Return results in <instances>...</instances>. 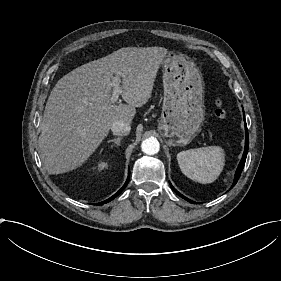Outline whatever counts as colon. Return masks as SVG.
<instances>
[{
	"instance_id": "obj_1",
	"label": "colon",
	"mask_w": 281,
	"mask_h": 281,
	"mask_svg": "<svg viewBox=\"0 0 281 281\" xmlns=\"http://www.w3.org/2000/svg\"><path fill=\"white\" fill-rule=\"evenodd\" d=\"M214 118L219 122H224L230 117L229 104L222 98L216 99L214 103Z\"/></svg>"
}]
</instances>
